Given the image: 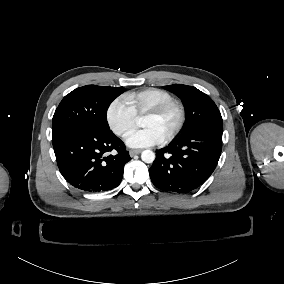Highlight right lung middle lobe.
I'll return each mask as SVG.
<instances>
[{
  "label": "right lung middle lobe",
  "mask_w": 284,
  "mask_h": 284,
  "mask_svg": "<svg viewBox=\"0 0 284 284\" xmlns=\"http://www.w3.org/2000/svg\"><path fill=\"white\" fill-rule=\"evenodd\" d=\"M123 87L86 85L67 94L52 119V138L75 128L110 130L106 112Z\"/></svg>",
  "instance_id": "obj_1"
}]
</instances>
